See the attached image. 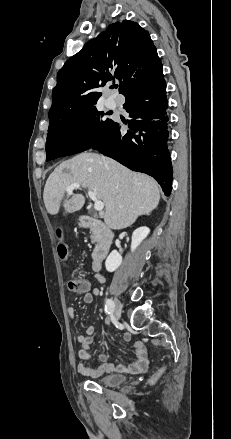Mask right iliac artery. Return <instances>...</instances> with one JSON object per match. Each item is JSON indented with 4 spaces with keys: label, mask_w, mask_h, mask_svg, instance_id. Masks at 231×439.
<instances>
[{
    "label": "right iliac artery",
    "mask_w": 231,
    "mask_h": 439,
    "mask_svg": "<svg viewBox=\"0 0 231 439\" xmlns=\"http://www.w3.org/2000/svg\"><path fill=\"white\" fill-rule=\"evenodd\" d=\"M114 310V302L112 299H107L105 304V312L111 314Z\"/></svg>",
    "instance_id": "1"
}]
</instances>
